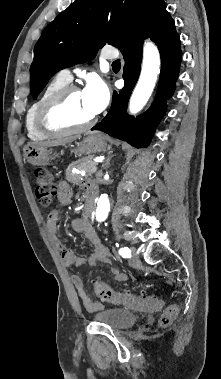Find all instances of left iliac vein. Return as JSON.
<instances>
[{"instance_id":"obj_1","label":"left iliac vein","mask_w":221,"mask_h":379,"mask_svg":"<svg viewBox=\"0 0 221 379\" xmlns=\"http://www.w3.org/2000/svg\"><path fill=\"white\" fill-rule=\"evenodd\" d=\"M131 251L133 253V258H130L129 259V264L132 266V267H135V268H138L141 266V262L137 256V253H136V248L135 247H131Z\"/></svg>"}]
</instances>
